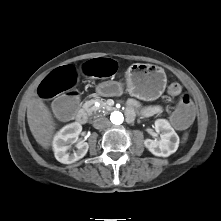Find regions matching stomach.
<instances>
[{
	"label": "stomach",
	"mask_w": 221,
	"mask_h": 221,
	"mask_svg": "<svg viewBox=\"0 0 221 221\" xmlns=\"http://www.w3.org/2000/svg\"><path fill=\"white\" fill-rule=\"evenodd\" d=\"M166 74L161 67L153 64H132L125 73L124 83H110L111 87L119 86L133 97L144 101L159 98L166 87Z\"/></svg>",
	"instance_id": "stomach-1"
}]
</instances>
